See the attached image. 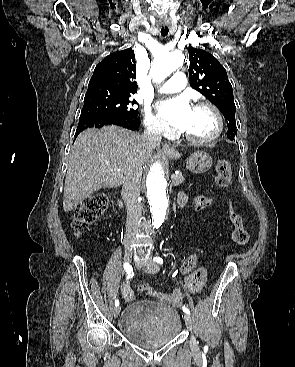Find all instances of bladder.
Wrapping results in <instances>:
<instances>
[{"instance_id":"obj_1","label":"bladder","mask_w":295,"mask_h":367,"mask_svg":"<svg viewBox=\"0 0 295 367\" xmlns=\"http://www.w3.org/2000/svg\"><path fill=\"white\" fill-rule=\"evenodd\" d=\"M119 326L131 342L144 348H157L171 342L180 333L178 312L155 300H137L126 306Z\"/></svg>"}]
</instances>
